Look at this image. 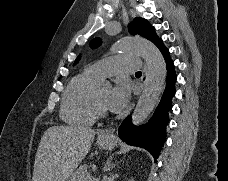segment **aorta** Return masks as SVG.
Returning <instances> with one entry per match:
<instances>
[{
    "instance_id": "obj_1",
    "label": "aorta",
    "mask_w": 228,
    "mask_h": 181,
    "mask_svg": "<svg viewBox=\"0 0 228 181\" xmlns=\"http://www.w3.org/2000/svg\"><path fill=\"white\" fill-rule=\"evenodd\" d=\"M113 50L140 55L148 67L145 87L132 115V123L138 126L145 121L159 102L165 87L166 63L159 49L143 38H124L113 47ZM101 86H108V83H102Z\"/></svg>"
}]
</instances>
